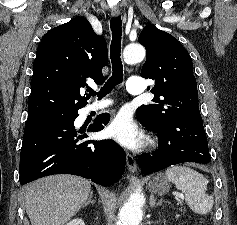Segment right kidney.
<instances>
[{
  "instance_id": "obj_1",
  "label": "right kidney",
  "mask_w": 237,
  "mask_h": 225,
  "mask_svg": "<svg viewBox=\"0 0 237 225\" xmlns=\"http://www.w3.org/2000/svg\"><path fill=\"white\" fill-rule=\"evenodd\" d=\"M66 225H85V223L82 219L76 218L70 221L69 223H67Z\"/></svg>"
}]
</instances>
